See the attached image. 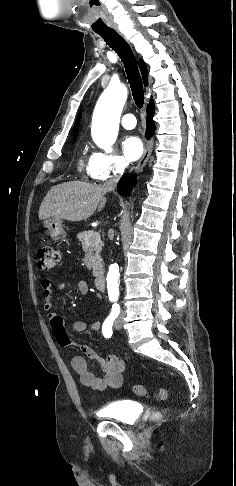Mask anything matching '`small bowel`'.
Here are the masks:
<instances>
[{
    "label": "small bowel",
    "mask_w": 236,
    "mask_h": 486,
    "mask_svg": "<svg viewBox=\"0 0 236 486\" xmlns=\"http://www.w3.org/2000/svg\"><path fill=\"white\" fill-rule=\"evenodd\" d=\"M40 286L45 299L43 308L47 312L49 323L58 343L61 346H68L70 344L77 345L88 358L96 361L104 372L103 376H96L89 370L88 363L83 356H74L71 360V365L79 375L81 383L96 391H103L107 388H120L123 384V375L126 369L125 362L115 355H108L105 358L100 357L92 347L73 343L66 332L62 317L51 311V298L54 291L64 289L66 283L61 282L54 287L49 279L43 278ZM77 287L81 293L87 294L89 292V286L85 281L79 280ZM101 327L102 323L100 320H94L89 324L84 321H76L72 325V330L76 333H81L86 330L98 331Z\"/></svg>",
    "instance_id": "obj_1"
}]
</instances>
